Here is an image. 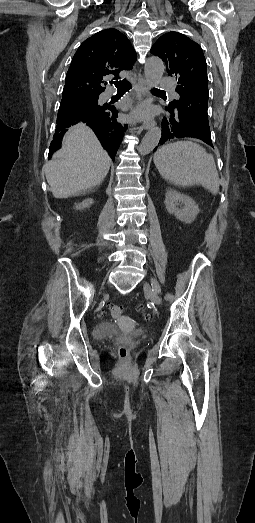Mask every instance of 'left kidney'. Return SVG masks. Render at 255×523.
Instances as JSON below:
<instances>
[{"label": "left kidney", "mask_w": 255, "mask_h": 523, "mask_svg": "<svg viewBox=\"0 0 255 523\" xmlns=\"http://www.w3.org/2000/svg\"><path fill=\"white\" fill-rule=\"evenodd\" d=\"M178 202L184 204L183 208H176V206H179ZM164 204L169 214H174L178 220L186 222V224H191L199 214L196 202L185 194H178L176 190H167Z\"/></svg>", "instance_id": "5707ae66"}]
</instances>
